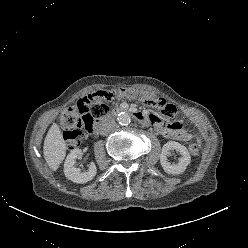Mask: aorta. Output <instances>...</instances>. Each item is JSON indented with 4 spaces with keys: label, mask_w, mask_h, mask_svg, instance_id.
Returning <instances> with one entry per match:
<instances>
[{
    "label": "aorta",
    "mask_w": 248,
    "mask_h": 248,
    "mask_svg": "<svg viewBox=\"0 0 248 248\" xmlns=\"http://www.w3.org/2000/svg\"><path fill=\"white\" fill-rule=\"evenodd\" d=\"M117 121L120 125L125 126V125L130 124L131 117L128 113L121 112L118 114Z\"/></svg>",
    "instance_id": "1"
}]
</instances>
